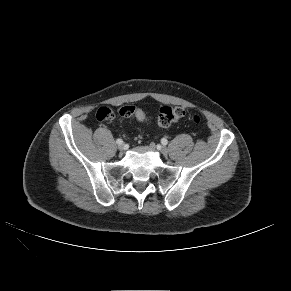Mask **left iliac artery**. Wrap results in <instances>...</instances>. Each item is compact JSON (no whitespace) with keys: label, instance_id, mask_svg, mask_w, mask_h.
Instances as JSON below:
<instances>
[{"label":"left iliac artery","instance_id":"44dca946","mask_svg":"<svg viewBox=\"0 0 291 291\" xmlns=\"http://www.w3.org/2000/svg\"><path fill=\"white\" fill-rule=\"evenodd\" d=\"M161 143H162L163 145H167V144H168V141H167V139L163 138V139L161 140Z\"/></svg>","mask_w":291,"mask_h":291}]
</instances>
